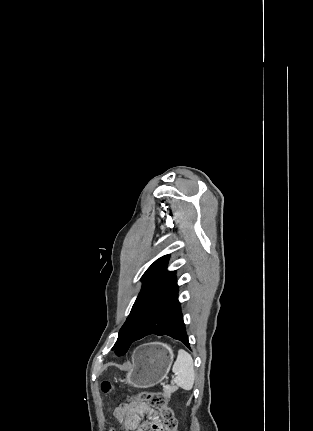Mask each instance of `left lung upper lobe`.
Masks as SVG:
<instances>
[{
  "mask_svg": "<svg viewBox=\"0 0 313 431\" xmlns=\"http://www.w3.org/2000/svg\"><path fill=\"white\" fill-rule=\"evenodd\" d=\"M168 259L169 255L157 259L142 276V289L112 348L117 355H124L147 322L178 296L175 271L166 269Z\"/></svg>",
  "mask_w": 313,
  "mask_h": 431,
  "instance_id": "obj_1",
  "label": "left lung upper lobe"
}]
</instances>
